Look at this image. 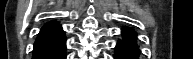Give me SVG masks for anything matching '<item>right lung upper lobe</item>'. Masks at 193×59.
<instances>
[{"mask_svg":"<svg viewBox=\"0 0 193 59\" xmlns=\"http://www.w3.org/2000/svg\"><path fill=\"white\" fill-rule=\"evenodd\" d=\"M59 33H62L61 26L56 22H49L42 28L37 40H40L46 37H50L53 35H57Z\"/></svg>","mask_w":193,"mask_h":59,"instance_id":"obj_1","label":"right lung upper lobe"}]
</instances>
